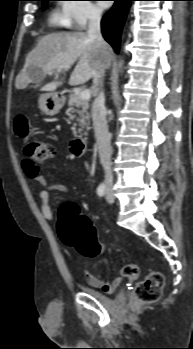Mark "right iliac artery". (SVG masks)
Returning a JSON list of instances; mask_svg holds the SVG:
<instances>
[{
	"label": "right iliac artery",
	"instance_id": "82829eb1",
	"mask_svg": "<svg viewBox=\"0 0 193 349\" xmlns=\"http://www.w3.org/2000/svg\"><path fill=\"white\" fill-rule=\"evenodd\" d=\"M106 193V184L105 183H102L98 186L97 188V194L100 196V197H103Z\"/></svg>",
	"mask_w": 193,
	"mask_h": 349
}]
</instances>
